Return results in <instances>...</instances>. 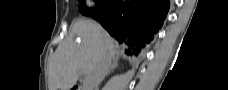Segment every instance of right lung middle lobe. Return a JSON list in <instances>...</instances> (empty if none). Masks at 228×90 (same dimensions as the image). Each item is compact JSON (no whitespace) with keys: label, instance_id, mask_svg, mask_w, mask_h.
<instances>
[{"label":"right lung middle lobe","instance_id":"1","mask_svg":"<svg viewBox=\"0 0 228 90\" xmlns=\"http://www.w3.org/2000/svg\"><path fill=\"white\" fill-rule=\"evenodd\" d=\"M97 1V7L92 8V9H88L85 8L84 4H85V0H79V2L81 3V5L79 6V10L84 14V15H94L97 13L98 10H102L106 5H107V1L106 0H96Z\"/></svg>","mask_w":228,"mask_h":90}]
</instances>
